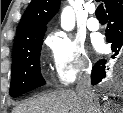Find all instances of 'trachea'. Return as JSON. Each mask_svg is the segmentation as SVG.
Instances as JSON below:
<instances>
[{"mask_svg": "<svg viewBox=\"0 0 123 113\" xmlns=\"http://www.w3.org/2000/svg\"><path fill=\"white\" fill-rule=\"evenodd\" d=\"M96 17L99 18H106L107 14L105 12L104 6L100 3L96 9Z\"/></svg>", "mask_w": 123, "mask_h": 113, "instance_id": "1", "label": "trachea"}]
</instances>
